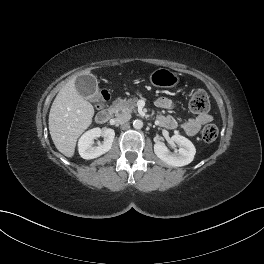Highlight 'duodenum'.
Wrapping results in <instances>:
<instances>
[{
  "mask_svg": "<svg viewBox=\"0 0 264 264\" xmlns=\"http://www.w3.org/2000/svg\"><path fill=\"white\" fill-rule=\"evenodd\" d=\"M113 112L111 109H104L98 112L96 116V121L99 124H106L112 118Z\"/></svg>",
  "mask_w": 264,
  "mask_h": 264,
  "instance_id": "410a0bca",
  "label": "duodenum"
}]
</instances>
